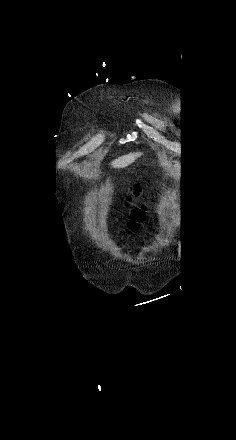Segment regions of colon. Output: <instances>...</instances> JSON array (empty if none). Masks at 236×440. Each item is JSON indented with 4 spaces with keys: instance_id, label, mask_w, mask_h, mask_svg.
<instances>
[{
    "instance_id": "1",
    "label": "colon",
    "mask_w": 236,
    "mask_h": 440,
    "mask_svg": "<svg viewBox=\"0 0 236 440\" xmlns=\"http://www.w3.org/2000/svg\"><path fill=\"white\" fill-rule=\"evenodd\" d=\"M140 191H141L140 186L136 185L134 195L138 196L140 194ZM142 216H143V212H142L141 209L137 208V209L133 210L132 217H133L134 220H140L142 218Z\"/></svg>"
}]
</instances>
